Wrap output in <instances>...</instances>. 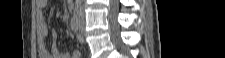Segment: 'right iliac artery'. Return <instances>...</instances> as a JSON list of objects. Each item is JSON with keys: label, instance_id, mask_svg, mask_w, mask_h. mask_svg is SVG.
Segmentation results:
<instances>
[{"label": "right iliac artery", "instance_id": "right-iliac-artery-1", "mask_svg": "<svg viewBox=\"0 0 225 58\" xmlns=\"http://www.w3.org/2000/svg\"><path fill=\"white\" fill-rule=\"evenodd\" d=\"M71 29L75 33L78 32L79 24H78V19L76 17L71 19Z\"/></svg>", "mask_w": 225, "mask_h": 58}]
</instances>
